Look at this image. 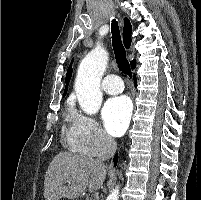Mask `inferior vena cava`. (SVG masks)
<instances>
[{"label": "inferior vena cava", "mask_w": 201, "mask_h": 200, "mask_svg": "<svg viewBox=\"0 0 201 200\" xmlns=\"http://www.w3.org/2000/svg\"><path fill=\"white\" fill-rule=\"evenodd\" d=\"M104 150L101 157L98 159V162L103 165V162L107 159H110L116 152L117 142L114 138L109 135H105L104 137Z\"/></svg>", "instance_id": "inferior-vena-cava-1"}]
</instances>
